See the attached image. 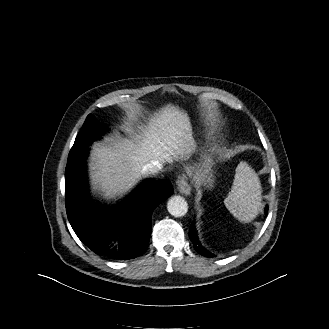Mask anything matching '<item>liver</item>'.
Here are the masks:
<instances>
[{
    "label": "liver",
    "instance_id": "obj_1",
    "mask_svg": "<svg viewBox=\"0 0 329 329\" xmlns=\"http://www.w3.org/2000/svg\"><path fill=\"white\" fill-rule=\"evenodd\" d=\"M131 118L137 121L135 115ZM128 131L130 139L97 144L91 152V183L105 198H115L130 191L141 179V170L147 163H171L189 155L194 147L188 114L171 105L154 113L146 125H138L136 130L129 127Z\"/></svg>",
    "mask_w": 329,
    "mask_h": 329
}]
</instances>
